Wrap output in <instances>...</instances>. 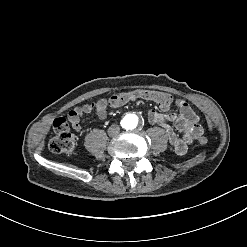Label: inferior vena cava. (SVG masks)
<instances>
[{
	"label": "inferior vena cava",
	"instance_id": "602c4592",
	"mask_svg": "<svg viewBox=\"0 0 247 247\" xmlns=\"http://www.w3.org/2000/svg\"><path fill=\"white\" fill-rule=\"evenodd\" d=\"M120 128L118 125H111L108 129V135L114 137L119 134Z\"/></svg>",
	"mask_w": 247,
	"mask_h": 247
}]
</instances>
